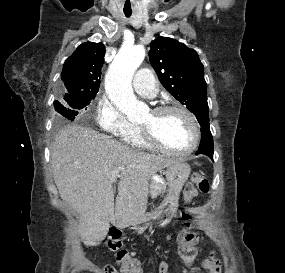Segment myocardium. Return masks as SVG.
<instances>
[{
	"label": "myocardium",
	"mask_w": 285,
	"mask_h": 273,
	"mask_svg": "<svg viewBox=\"0 0 285 273\" xmlns=\"http://www.w3.org/2000/svg\"><path fill=\"white\" fill-rule=\"evenodd\" d=\"M169 111H176L181 114H183L191 123L192 128H193V140L191 145L185 149V150H175L172 148L167 147L164 145L162 142L158 140V138L155 136L153 131L150 128L144 127L142 125H139V130L141 137L143 140L150 145L151 147L158 149L160 151H163L165 153L175 155V156H188L191 155L196 151L200 144L201 140V127L200 124L195 117V115L185 108L182 105L179 104H163V105H158L155 108H153L152 112L153 113H165Z\"/></svg>",
	"instance_id": "1"
}]
</instances>
